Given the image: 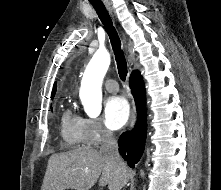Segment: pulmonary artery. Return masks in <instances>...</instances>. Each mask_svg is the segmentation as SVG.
<instances>
[{
    "label": "pulmonary artery",
    "mask_w": 221,
    "mask_h": 190,
    "mask_svg": "<svg viewBox=\"0 0 221 190\" xmlns=\"http://www.w3.org/2000/svg\"><path fill=\"white\" fill-rule=\"evenodd\" d=\"M105 87L109 92L112 93H116L119 90L118 83L113 79L106 80Z\"/></svg>",
    "instance_id": "pulmonary-artery-1"
}]
</instances>
